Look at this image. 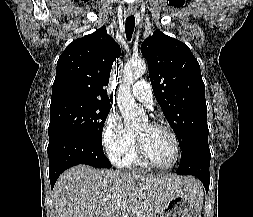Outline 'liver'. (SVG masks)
<instances>
[{"label": "liver", "instance_id": "1", "mask_svg": "<svg viewBox=\"0 0 253 217\" xmlns=\"http://www.w3.org/2000/svg\"><path fill=\"white\" fill-rule=\"evenodd\" d=\"M178 195L203 199L201 183L189 176H146L77 165L58 178L55 217H155Z\"/></svg>", "mask_w": 253, "mask_h": 217}]
</instances>
